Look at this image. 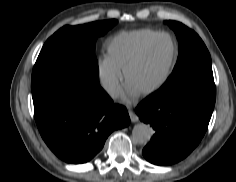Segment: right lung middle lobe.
I'll return each mask as SVG.
<instances>
[{"label":"right lung middle lobe","instance_id":"1","mask_svg":"<svg viewBox=\"0 0 236 182\" xmlns=\"http://www.w3.org/2000/svg\"><path fill=\"white\" fill-rule=\"evenodd\" d=\"M117 20L64 26L44 44L33 68L31 90L74 82L101 98L95 41L111 29Z\"/></svg>","mask_w":236,"mask_h":182}]
</instances>
